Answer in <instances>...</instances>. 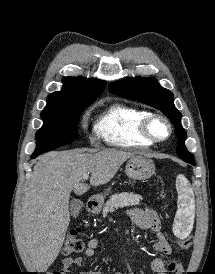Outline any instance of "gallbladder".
I'll use <instances>...</instances> for the list:
<instances>
[{"label": "gallbladder", "mask_w": 215, "mask_h": 274, "mask_svg": "<svg viewBox=\"0 0 215 274\" xmlns=\"http://www.w3.org/2000/svg\"><path fill=\"white\" fill-rule=\"evenodd\" d=\"M83 207V203L80 200L74 199L70 203V213L74 217L78 216L80 213L81 209Z\"/></svg>", "instance_id": "obj_1"}]
</instances>
